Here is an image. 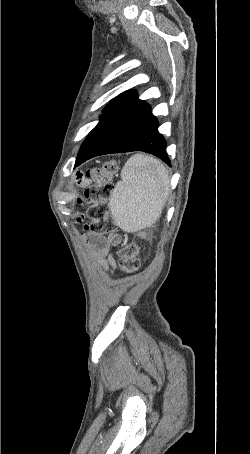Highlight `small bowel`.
<instances>
[{
    "instance_id": "1",
    "label": "small bowel",
    "mask_w": 250,
    "mask_h": 454,
    "mask_svg": "<svg viewBox=\"0 0 250 454\" xmlns=\"http://www.w3.org/2000/svg\"><path fill=\"white\" fill-rule=\"evenodd\" d=\"M77 178L80 181V184L85 186L89 184V181L85 179L82 174H78ZM85 238L93 252L100 258L101 265L107 269H113L115 267V262L112 256L109 255V249L111 244L119 241V238L113 236L106 237L102 234H95L92 232L88 233Z\"/></svg>"
}]
</instances>
